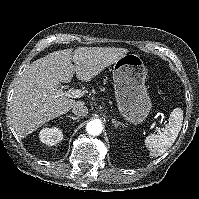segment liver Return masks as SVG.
Listing matches in <instances>:
<instances>
[{
    "label": "liver",
    "instance_id": "1",
    "mask_svg": "<svg viewBox=\"0 0 199 199\" xmlns=\"http://www.w3.org/2000/svg\"><path fill=\"white\" fill-rule=\"evenodd\" d=\"M127 53L125 48L79 47L34 61L17 81L11 100L10 116L17 135L26 137L77 103L63 94L60 83L70 82L75 73L79 80L89 82Z\"/></svg>",
    "mask_w": 199,
    "mask_h": 199
}]
</instances>
